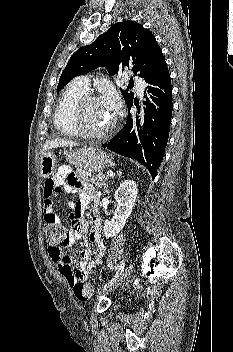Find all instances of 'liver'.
<instances>
[{
  "instance_id": "6515ba94",
  "label": "liver",
  "mask_w": 233,
  "mask_h": 352,
  "mask_svg": "<svg viewBox=\"0 0 233 352\" xmlns=\"http://www.w3.org/2000/svg\"><path fill=\"white\" fill-rule=\"evenodd\" d=\"M77 145L78 143L76 142L60 139V138L47 140L43 145L42 155L50 149L59 148V147H73Z\"/></svg>"
}]
</instances>
